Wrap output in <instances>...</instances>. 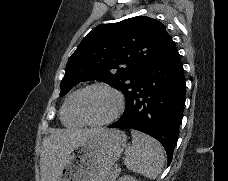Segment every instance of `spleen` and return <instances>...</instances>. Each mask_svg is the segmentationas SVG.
Instances as JSON below:
<instances>
[{
  "label": "spleen",
  "mask_w": 228,
  "mask_h": 181,
  "mask_svg": "<svg viewBox=\"0 0 228 181\" xmlns=\"http://www.w3.org/2000/svg\"><path fill=\"white\" fill-rule=\"evenodd\" d=\"M165 163L164 149L156 139L132 131V147L125 153L124 165L132 173L144 175L147 179H156Z\"/></svg>",
  "instance_id": "1"
}]
</instances>
